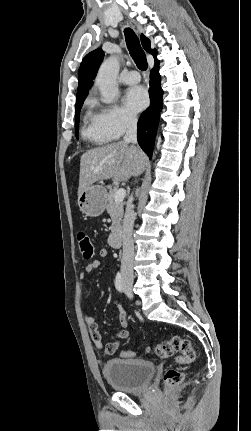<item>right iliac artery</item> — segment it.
Masks as SVG:
<instances>
[{
	"instance_id": "right-iliac-artery-1",
	"label": "right iliac artery",
	"mask_w": 251,
	"mask_h": 431,
	"mask_svg": "<svg viewBox=\"0 0 251 431\" xmlns=\"http://www.w3.org/2000/svg\"><path fill=\"white\" fill-rule=\"evenodd\" d=\"M115 287L119 292H123V280L119 272L117 273L115 278Z\"/></svg>"
}]
</instances>
